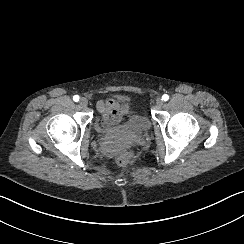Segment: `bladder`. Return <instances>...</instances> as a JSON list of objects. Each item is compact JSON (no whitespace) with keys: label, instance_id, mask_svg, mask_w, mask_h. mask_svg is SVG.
<instances>
[{"label":"bladder","instance_id":"1","mask_svg":"<svg viewBox=\"0 0 244 244\" xmlns=\"http://www.w3.org/2000/svg\"><path fill=\"white\" fill-rule=\"evenodd\" d=\"M126 122L119 129L135 134H148L151 129V122L147 116L131 111L127 114Z\"/></svg>","mask_w":244,"mask_h":244}]
</instances>
